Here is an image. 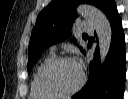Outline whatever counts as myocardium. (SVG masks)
Instances as JSON below:
<instances>
[{
  "instance_id": "f54148a6",
  "label": "myocardium",
  "mask_w": 128,
  "mask_h": 99,
  "mask_svg": "<svg viewBox=\"0 0 128 99\" xmlns=\"http://www.w3.org/2000/svg\"><path fill=\"white\" fill-rule=\"evenodd\" d=\"M64 62H75L77 63V61L75 59H73L72 57H68V56H64V57H57L54 58L53 60H51L50 62L46 63L45 65H43L41 67V69L39 70L38 74H37V78H36V85L38 90L45 94L48 95L50 97H55V98H65V97H70L74 94H76L83 86L86 80V76L85 73L83 71V69L80 67V65L78 64V66L80 67L81 70V79L80 82L78 83V85L76 87H74L73 89L66 91V92H56V91H51L49 89H47L43 83H42V78L44 76V74L51 68L64 63Z\"/></svg>"
}]
</instances>
